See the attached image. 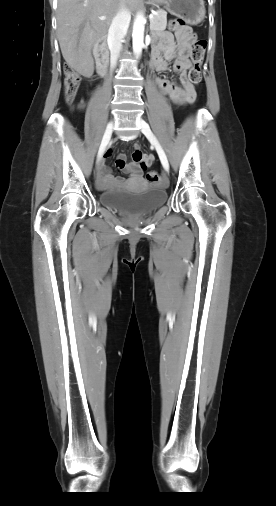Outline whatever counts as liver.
I'll return each instance as SVG.
<instances>
[{"label":"liver","mask_w":276,"mask_h":506,"mask_svg":"<svg viewBox=\"0 0 276 506\" xmlns=\"http://www.w3.org/2000/svg\"><path fill=\"white\" fill-rule=\"evenodd\" d=\"M141 0H59L57 34L63 58L70 68L82 75H92L94 43L105 36L109 26L124 5L134 12ZM166 0H149L163 4ZM101 16L106 17L100 20Z\"/></svg>","instance_id":"obj_1"}]
</instances>
